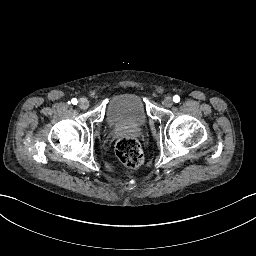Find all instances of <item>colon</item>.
Wrapping results in <instances>:
<instances>
[{"mask_svg":"<svg viewBox=\"0 0 256 256\" xmlns=\"http://www.w3.org/2000/svg\"><path fill=\"white\" fill-rule=\"evenodd\" d=\"M116 154L121 167L125 170L138 168L143 162V152L138 141L131 137H122L116 145Z\"/></svg>","mask_w":256,"mask_h":256,"instance_id":"colon-1","label":"colon"}]
</instances>
